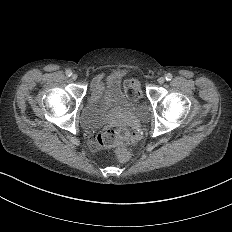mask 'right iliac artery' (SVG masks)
<instances>
[{"mask_svg":"<svg viewBox=\"0 0 232 232\" xmlns=\"http://www.w3.org/2000/svg\"><path fill=\"white\" fill-rule=\"evenodd\" d=\"M66 75H67L68 77H70V76L72 75L71 70H67V71H66Z\"/></svg>","mask_w":232,"mask_h":232,"instance_id":"1","label":"right iliac artery"}]
</instances>
